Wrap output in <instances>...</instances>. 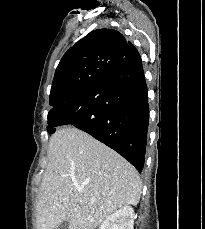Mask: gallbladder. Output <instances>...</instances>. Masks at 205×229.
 I'll return each mask as SVG.
<instances>
[{"label":"gallbladder","instance_id":"1","mask_svg":"<svg viewBox=\"0 0 205 229\" xmlns=\"http://www.w3.org/2000/svg\"><path fill=\"white\" fill-rule=\"evenodd\" d=\"M55 229H69V222L65 220Z\"/></svg>","mask_w":205,"mask_h":229}]
</instances>
